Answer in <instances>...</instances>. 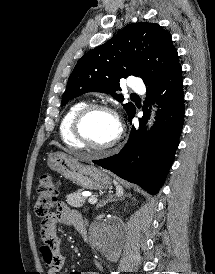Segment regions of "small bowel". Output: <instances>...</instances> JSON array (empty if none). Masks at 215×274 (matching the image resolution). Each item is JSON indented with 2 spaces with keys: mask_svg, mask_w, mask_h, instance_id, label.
I'll return each instance as SVG.
<instances>
[{
  "mask_svg": "<svg viewBox=\"0 0 215 274\" xmlns=\"http://www.w3.org/2000/svg\"><path fill=\"white\" fill-rule=\"evenodd\" d=\"M74 227L78 232L86 229V224L81 214L71 210L67 204H58L57 211L50 214L42 221L40 226L41 247L40 252L45 265L47 274H58L61 272L65 259L60 249V238L57 233L58 223ZM77 274H98L97 272H79Z\"/></svg>",
  "mask_w": 215,
  "mask_h": 274,
  "instance_id": "1",
  "label": "small bowel"
}]
</instances>
